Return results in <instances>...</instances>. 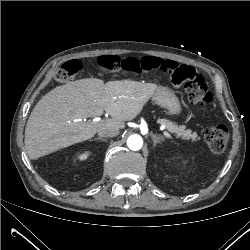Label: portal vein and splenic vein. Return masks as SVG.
Returning a JSON list of instances; mask_svg holds the SVG:
<instances>
[{
    "instance_id": "portal-vein-and-splenic-vein-1",
    "label": "portal vein and splenic vein",
    "mask_w": 250,
    "mask_h": 250,
    "mask_svg": "<svg viewBox=\"0 0 250 250\" xmlns=\"http://www.w3.org/2000/svg\"><path fill=\"white\" fill-rule=\"evenodd\" d=\"M164 135L167 137V138H169V139H172L173 137L168 133V132H164Z\"/></svg>"
}]
</instances>
